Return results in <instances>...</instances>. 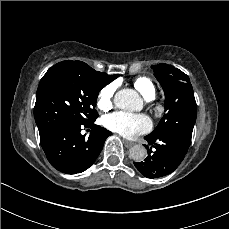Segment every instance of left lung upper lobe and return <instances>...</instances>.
Wrapping results in <instances>:
<instances>
[{
    "label": "left lung upper lobe",
    "mask_w": 229,
    "mask_h": 229,
    "mask_svg": "<svg viewBox=\"0 0 229 229\" xmlns=\"http://www.w3.org/2000/svg\"><path fill=\"white\" fill-rule=\"evenodd\" d=\"M165 93V114L152 136L175 137L190 145L197 105L189 77L172 65L151 67Z\"/></svg>",
    "instance_id": "1"
}]
</instances>
